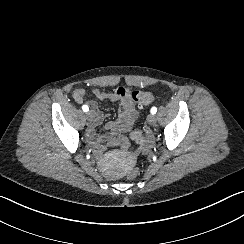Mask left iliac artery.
<instances>
[{
	"mask_svg": "<svg viewBox=\"0 0 244 244\" xmlns=\"http://www.w3.org/2000/svg\"><path fill=\"white\" fill-rule=\"evenodd\" d=\"M156 112H157V108H156V107H152V108H151V113H152V114H155Z\"/></svg>",
	"mask_w": 244,
	"mask_h": 244,
	"instance_id": "left-iliac-artery-1",
	"label": "left iliac artery"
}]
</instances>
